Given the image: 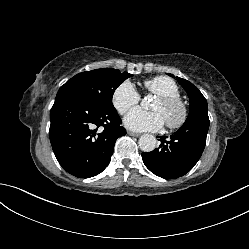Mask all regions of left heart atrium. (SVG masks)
<instances>
[{"instance_id": "left-heart-atrium-1", "label": "left heart atrium", "mask_w": 249, "mask_h": 249, "mask_svg": "<svg viewBox=\"0 0 249 249\" xmlns=\"http://www.w3.org/2000/svg\"><path fill=\"white\" fill-rule=\"evenodd\" d=\"M164 118L158 111H144L141 108L132 109L124 118L127 128L134 131H157L164 125Z\"/></svg>"}]
</instances>
